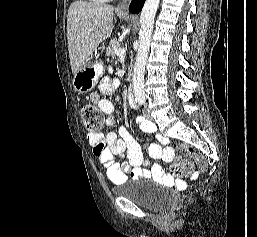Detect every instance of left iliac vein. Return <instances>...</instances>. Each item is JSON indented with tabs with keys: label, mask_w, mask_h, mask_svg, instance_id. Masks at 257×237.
<instances>
[{
	"label": "left iliac vein",
	"mask_w": 257,
	"mask_h": 237,
	"mask_svg": "<svg viewBox=\"0 0 257 237\" xmlns=\"http://www.w3.org/2000/svg\"><path fill=\"white\" fill-rule=\"evenodd\" d=\"M144 115H145V117L148 119V120H151L152 119V117H151V115H150V111H149V109H145V111H144Z\"/></svg>",
	"instance_id": "left-iliac-vein-1"
}]
</instances>
